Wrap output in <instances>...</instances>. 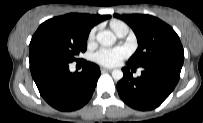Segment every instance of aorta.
<instances>
[{
  "label": "aorta",
  "instance_id": "762f6f07",
  "mask_svg": "<svg viewBox=\"0 0 203 123\" xmlns=\"http://www.w3.org/2000/svg\"><path fill=\"white\" fill-rule=\"evenodd\" d=\"M96 39H97L98 43L103 46H112L116 41L115 35L109 30H104V31L98 32L96 35ZM112 77L116 81L121 80L123 78L122 70L114 69L112 71Z\"/></svg>",
  "mask_w": 203,
  "mask_h": 123
}]
</instances>
